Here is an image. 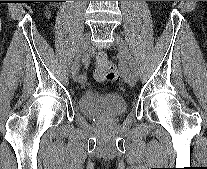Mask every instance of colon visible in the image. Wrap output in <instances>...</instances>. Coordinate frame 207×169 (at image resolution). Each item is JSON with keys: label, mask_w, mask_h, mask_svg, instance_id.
Masks as SVG:
<instances>
[{"label": "colon", "mask_w": 207, "mask_h": 169, "mask_svg": "<svg viewBox=\"0 0 207 169\" xmlns=\"http://www.w3.org/2000/svg\"><path fill=\"white\" fill-rule=\"evenodd\" d=\"M94 78L100 82L116 83L119 81L120 75L114 63L105 55L100 54L96 58Z\"/></svg>", "instance_id": "5ec220e1"}]
</instances>
